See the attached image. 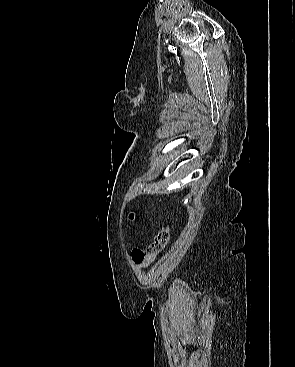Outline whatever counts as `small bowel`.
<instances>
[{
	"mask_svg": "<svg viewBox=\"0 0 295 367\" xmlns=\"http://www.w3.org/2000/svg\"><path fill=\"white\" fill-rule=\"evenodd\" d=\"M141 266H146V265H148L147 263H143V264H140Z\"/></svg>",
	"mask_w": 295,
	"mask_h": 367,
	"instance_id": "small-bowel-1",
	"label": "small bowel"
}]
</instances>
